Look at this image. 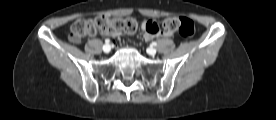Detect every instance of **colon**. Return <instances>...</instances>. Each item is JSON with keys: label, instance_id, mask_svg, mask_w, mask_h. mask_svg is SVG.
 Masks as SVG:
<instances>
[{"label": "colon", "instance_id": "obj_1", "mask_svg": "<svg viewBox=\"0 0 276 120\" xmlns=\"http://www.w3.org/2000/svg\"><path fill=\"white\" fill-rule=\"evenodd\" d=\"M138 28V23L131 17L110 18L105 15L93 19H79L71 24L68 38L73 43H78L87 35H95L97 32L110 36L123 33L132 34ZM144 28L149 33H157L159 25L154 21L144 23ZM162 28L166 33L178 32L182 37H191L195 32V25L192 20L186 17H170L163 21Z\"/></svg>", "mask_w": 276, "mask_h": 120}]
</instances>
